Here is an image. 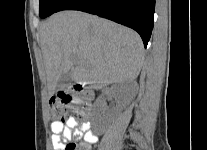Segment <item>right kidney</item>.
<instances>
[{
    "mask_svg": "<svg viewBox=\"0 0 207 150\" xmlns=\"http://www.w3.org/2000/svg\"><path fill=\"white\" fill-rule=\"evenodd\" d=\"M122 91H123V87H120L119 85H115L111 89V93L113 95H119V93ZM100 102H101V99H98L96 102V105L98 106ZM123 106H124V103L118 102L117 110H122Z\"/></svg>",
    "mask_w": 207,
    "mask_h": 150,
    "instance_id": "obj_1",
    "label": "right kidney"
}]
</instances>
